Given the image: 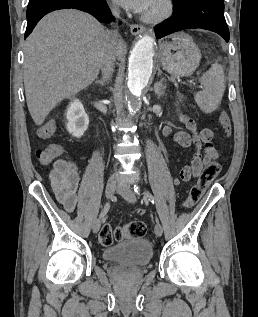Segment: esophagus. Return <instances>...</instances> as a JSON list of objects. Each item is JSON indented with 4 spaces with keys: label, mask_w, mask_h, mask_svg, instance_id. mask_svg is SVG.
Masks as SVG:
<instances>
[{
    "label": "esophagus",
    "mask_w": 258,
    "mask_h": 317,
    "mask_svg": "<svg viewBox=\"0 0 258 317\" xmlns=\"http://www.w3.org/2000/svg\"><path fill=\"white\" fill-rule=\"evenodd\" d=\"M144 27L142 25H131L130 31L134 36L140 35L144 32Z\"/></svg>",
    "instance_id": "1"
}]
</instances>
